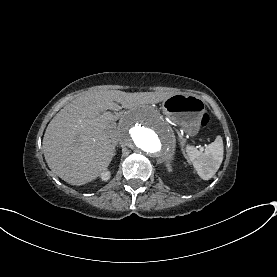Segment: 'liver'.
Returning <instances> with one entry per match:
<instances>
[{"label": "liver", "instance_id": "6515ba94", "mask_svg": "<svg viewBox=\"0 0 277 277\" xmlns=\"http://www.w3.org/2000/svg\"><path fill=\"white\" fill-rule=\"evenodd\" d=\"M172 94L166 92L87 91L63 107L48 124L43 153L49 168L66 183L82 186L106 171L115 156L120 136L111 112L118 104L135 109L157 104ZM100 112H103L100 114Z\"/></svg>", "mask_w": 277, "mask_h": 277}]
</instances>
